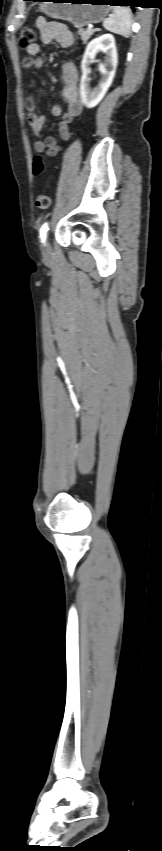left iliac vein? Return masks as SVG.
Listing matches in <instances>:
<instances>
[{
	"label": "left iliac vein",
	"instance_id": "1",
	"mask_svg": "<svg viewBox=\"0 0 162 851\" xmlns=\"http://www.w3.org/2000/svg\"><path fill=\"white\" fill-rule=\"evenodd\" d=\"M42 252H43L44 257H46V258L49 257L50 252H51V248H50V243H49L48 240H46L44 242Z\"/></svg>",
	"mask_w": 162,
	"mask_h": 851
}]
</instances>
